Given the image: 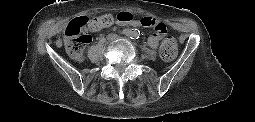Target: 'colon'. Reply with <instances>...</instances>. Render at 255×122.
<instances>
[{
	"mask_svg": "<svg viewBox=\"0 0 255 122\" xmlns=\"http://www.w3.org/2000/svg\"><path fill=\"white\" fill-rule=\"evenodd\" d=\"M136 20L134 15L121 12L117 15L104 14L99 17L87 19L77 18L73 20L65 29V48L69 56L75 60H81L86 46L91 42V34L101 29L110 28L116 23H127ZM140 26L153 28L159 33L168 34L170 30L162 22L151 17H142L138 20ZM178 51L176 40L169 36L161 44L160 55L164 60H172Z\"/></svg>",
	"mask_w": 255,
	"mask_h": 122,
	"instance_id": "colon-1",
	"label": "colon"
}]
</instances>
